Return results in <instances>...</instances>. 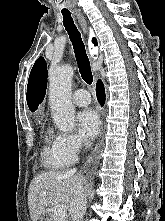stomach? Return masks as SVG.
<instances>
[{
  "instance_id": "0dacf381",
  "label": "stomach",
  "mask_w": 165,
  "mask_h": 221,
  "mask_svg": "<svg viewBox=\"0 0 165 221\" xmlns=\"http://www.w3.org/2000/svg\"><path fill=\"white\" fill-rule=\"evenodd\" d=\"M50 219H51V218H49V217H43V218L41 219V221H50Z\"/></svg>"
}]
</instances>
